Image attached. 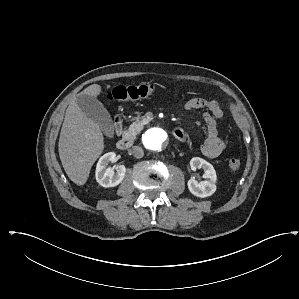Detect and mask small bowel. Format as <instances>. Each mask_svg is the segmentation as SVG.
I'll return each mask as SVG.
<instances>
[{
	"label": "small bowel",
	"mask_w": 299,
	"mask_h": 299,
	"mask_svg": "<svg viewBox=\"0 0 299 299\" xmlns=\"http://www.w3.org/2000/svg\"><path fill=\"white\" fill-rule=\"evenodd\" d=\"M186 111L205 109L204 121L206 124V140L201 146L202 153L208 158H216L225 150V142L218 136L217 120L222 118L224 111L216 100H208L200 97L189 99L185 105Z\"/></svg>",
	"instance_id": "c3829d8e"
}]
</instances>
